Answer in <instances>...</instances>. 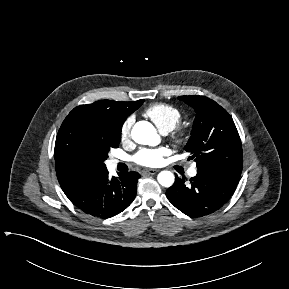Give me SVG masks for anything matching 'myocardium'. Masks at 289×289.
I'll use <instances>...</instances> for the list:
<instances>
[{
	"instance_id": "1",
	"label": "myocardium",
	"mask_w": 289,
	"mask_h": 289,
	"mask_svg": "<svg viewBox=\"0 0 289 289\" xmlns=\"http://www.w3.org/2000/svg\"><path fill=\"white\" fill-rule=\"evenodd\" d=\"M169 137L175 145L184 147L192 138V128L188 123L178 124L169 131Z\"/></svg>"
}]
</instances>
